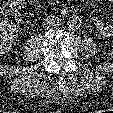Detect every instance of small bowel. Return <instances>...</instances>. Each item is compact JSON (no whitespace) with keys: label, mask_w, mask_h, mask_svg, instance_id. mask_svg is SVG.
Wrapping results in <instances>:
<instances>
[{"label":"small bowel","mask_w":113,"mask_h":113,"mask_svg":"<svg viewBox=\"0 0 113 113\" xmlns=\"http://www.w3.org/2000/svg\"><path fill=\"white\" fill-rule=\"evenodd\" d=\"M14 16L18 21L20 18V12L14 14ZM94 24L100 34H102L105 37H113V24H106L100 19H95Z\"/></svg>","instance_id":"c3829d8e"}]
</instances>
